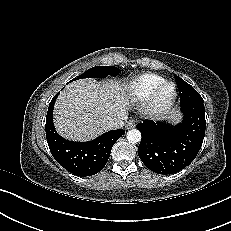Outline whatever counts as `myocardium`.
Masks as SVG:
<instances>
[{
  "label": "myocardium",
  "mask_w": 231,
  "mask_h": 231,
  "mask_svg": "<svg viewBox=\"0 0 231 231\" xmlns=\"http://www.w3.org/2000/svg\"><path fill=\"white\" fill-rule=\"evenodd\" d=\"M170 87L171 92L166 100H160L161 92ZM177 100V88L171 81H163L148 96L142 105L143 114L149 119H162L173 109Z\"/></svg>",
  "instance_id": "1"
}]
</instances>
